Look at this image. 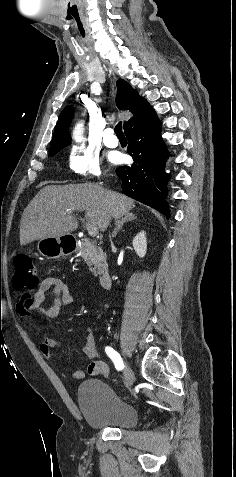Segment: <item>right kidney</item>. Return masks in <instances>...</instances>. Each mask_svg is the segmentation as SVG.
Listing matches in <instances>:
<instances>
[{
  "instance_id": "obj_1",
  "label": "right kidney",
  "mask_w": 236,
  "mask_h": 477,
  "mask_svg": "<svg viewBox=\"0 0 236 477\" xmlns=\"http://www.w3.org/2000/svg\"><path fill=\"white\" fill-rule=\"evenodd\" d=\"M133 248L135 252L138 254L140 258H143L146 254L147 250V240L145 232H140L134 239H133Z\"/></svg>"
}]
</instances>
